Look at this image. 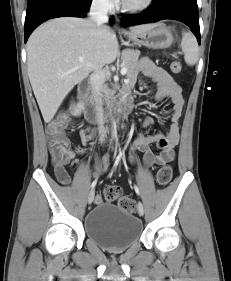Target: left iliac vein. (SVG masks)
Segmentation results:
<instances>
[{
  "instance_id": "left-iliac-vein-1",
  "label": "left iliac vein",
  "mask_w": 231,
  "mask_h": 281,
  "mask_svg": "<svg viewBox=\"0 0 231 281\" xmlns=\"http://www.w3.org/2000/svg\"><path fill=\"white\" fill-rule=\"evenodd\" d=\"M138 213L141 216L144 214V207H143V204L141 202L138 203Z\"/></svg>"
}]
</instances>
